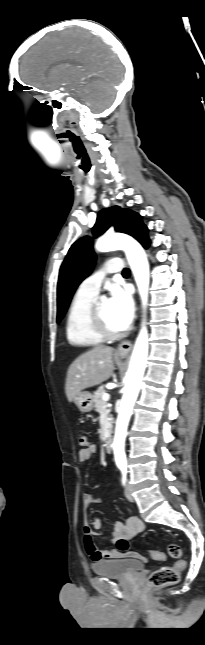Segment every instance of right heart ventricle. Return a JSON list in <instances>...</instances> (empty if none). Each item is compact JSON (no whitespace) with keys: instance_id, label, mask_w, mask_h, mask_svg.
<instances>
[{"instance_id":"obj_1","label":"right heart ventricle","mask_w":205,"mask_h":645,"mask_svg":"<svg viewBox=\"0 0 205 645\" xmlns=\"http://www.w3.org/2000/svg\"><path fill=\"white\" fill-rule=\"evenodd\" d=\"M95 296L78 290L71 300L65 326L66 337L71 345L93 347L104 341L93 330L90 322V310Z\"/></svg>"}]
</instances>
